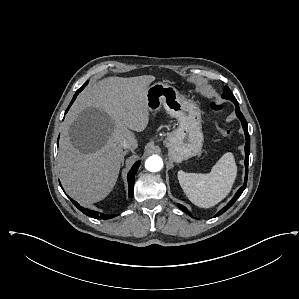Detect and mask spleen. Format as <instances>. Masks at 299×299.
I'll use <instances>...</instances> for the list:
<instances>
[{"mask_svg":"<svg viewBox=\"0 0 299 299\" xmlns=\"http://www.w3.org/2000/svg\"><path fill=\"white\" fill-rule=\"evenodd\" d=\"M237 176L231 152L225 153L207 174L178 171V180L189 200L198 207L210 208L230 193Z\"/></svg>","mask_w":299,"mask_h":299,"instance_id":"3e777b00","label":"spleen"}]
</instances>
